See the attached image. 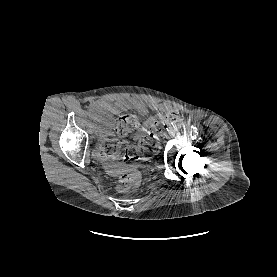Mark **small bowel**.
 <instances>
[{
  "mask_svg": "<svg viewBox=\"0 0 277 277\" xmlns=\"http://www.w3.org/2000/svg\"><path fill=\"white\" fill-rule=\"evenodd\" d=\"M126 104L121 101L109 102L105 100H97L91 103L90 110L94 119L100 123L101 131L109 125V114L115 112L117 109L125 107ZM138 111L142 114H146L148 109L156 110L160 116L170 117L173 116V108L166 104H147L138 102L136 104ZM156 122V119L151 117L147 120L148 125H152ZM141 134H137L136 137H140ZM106 168L111 172H115V166L111 163L106 164Z\"/></svg>",
  "mask_w": 277,
  "mask_h": 277,
  "instance_id": "1",
  "label": "small bowel"
}]
</instances>
